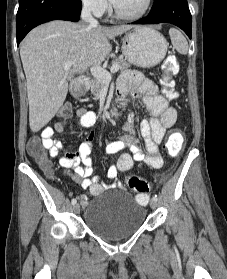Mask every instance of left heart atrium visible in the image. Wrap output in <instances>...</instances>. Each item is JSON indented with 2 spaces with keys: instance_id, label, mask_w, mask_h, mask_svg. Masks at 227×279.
Returning a JSON list of instances; mask_svg holds the SVG:
<instances>
[{
  "instance_id": "obj_1",
  "label": "left heart atrium",
  "mask_w": 227,
  "mask_h": 279,
  "mask_svg": "<svg viewBox=\"0 0 227 279\" xmlns=\"http://www.w3.org/2000/svg\"><path fill=\"white\" fill-rule=\"evenodd\" d=\"M111 2H112V3H114V2H115V0H111Z\"/></svg>"
}]
</instances>
